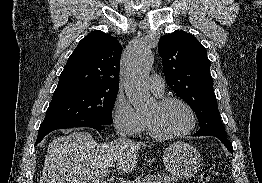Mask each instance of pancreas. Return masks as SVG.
I'll return each instance as SVG.
<instances>
[{
	"label": "pancreas",
	"instance_id": "1",
	"mask_svg": "<svg viewBox=\"0 0 262 183\" xmlns=\"http://www.w3.org/2000/svg\"><path fill=\"white\" fill-rule=\"evenodd\" d=\"M177 179L168 175H148L143 179V183H175Z\"/></svg>",
	"mask_w": 262,
	"mask_h": 183
}]
</instances>
